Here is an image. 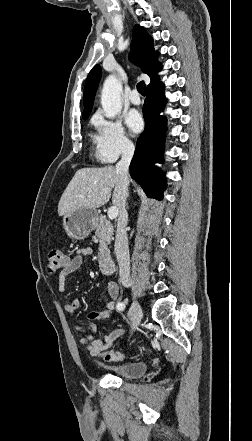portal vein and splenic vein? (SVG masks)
Listing matches in <instances>:
<instances>
[{"mask_svg": "<svg viewBox=\"0 0 252 441\" xmlns=\"http://www.w3.org/2000/svg\"><path fill=\"white\" fill-rule=\"evenodd\" d=\"M107 214H108V218H109L110 220L116 219L117 216H118V208H117V207H111V208H109Z\"/></svg>", "mask_w": 252, "mask_h": 441, "instance_id": "obj_1", "label": "portal vein and splenic vein"}]
</instances>
